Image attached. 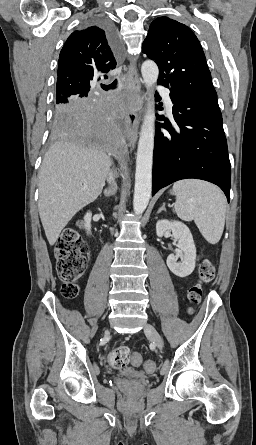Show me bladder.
Here are the masks:
<instances>
[{
    "label": "bladder",
    "instance_id": "bladder-1",
    "mask_svg": "<svg viewBox=\"0 0 256 445\" xmlns=\"http://www.w3.org/2000/svg\"><path fill=\"white\" fill-rule=\"evenodd\" d=\"M120 375L129 378V379H138V380H144L147 378V375L142 373L139 370L133 369V368H124L120 371Z\"/></svg>",
    "mask_w": 256,
    "mask_h": 445
}]
</instances>
